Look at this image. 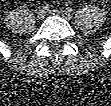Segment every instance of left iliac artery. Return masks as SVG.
<instances>
[{"label":"left iliac artery","mask_w":111,"mask_h":106,"mask_svg":"<svg viewBox=\"0 0 111 106\" xmlns=\"http://www.w3.org/2000/svg\"><path fill=\"white\" fill-rule=\"evenodd\" d=\"M67 13H71L72 12V8L71 7H67L65 10Z\"/></svg>","instance_id":"44dca946"}]
</instances>
